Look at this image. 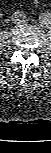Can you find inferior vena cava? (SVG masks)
Listing matches in <instances>:
<instances>
[{
    "label": "inferior vena cava",
    "instance_id": "obj_1",
    "mask_svg": "<svg viewBox=\"0 0 51 153\" xmlns=\"http://www.w3.org/2000/svg\"><path fill=\"white\" fill-rule=\"evenodd\" d=\"M12 21L15 24H22L26 21V15L22 11H17L12 15Z\"/></svg>",
    "mask_w": 51,
    "mask_h": 153
}]
</instances>
